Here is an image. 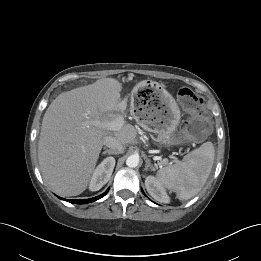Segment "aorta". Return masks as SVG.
<instances>
[{
	"label": "aorta",
	"instance_id": "obj_1",
	"mask_svg": "<svg viewBox=\"0 0 261 261\" xmlns=\"http://www.w3.org/2000/svg\"><path fill=\"white\" fill-rule=\"evenodd\" d=\"M139 164V156L131 155L126 160V165L130 168H135Z\"/></svg>",
	"mask_w": 261,
	"mask_h": 261
}]
</instances>
